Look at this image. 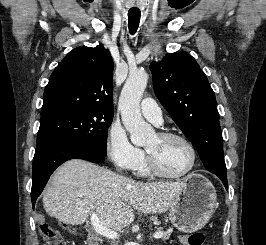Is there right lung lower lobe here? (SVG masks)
<instances>
[{
	"instance_id": "obj_1",
	"label": "right lung lower lobe",
	"mask_w": 266,
	"mask_h": 245,
	"mask_svg": "<svg viewBox=\"0 0 266 245\" xmlns=\"http://www.w3.org/2000/svg\"><path fill=\"white\" fill-rule=\"evenodd\" d=\"M104 155L86 146L70 141H55L35 150L33 159V180L31 199L34 208L36 199L43 191L50 175L54 170L70 159H84L94 163H103Z\"/></svg>"
}]
</instances>
